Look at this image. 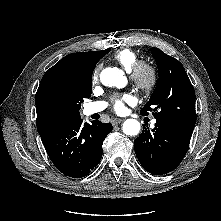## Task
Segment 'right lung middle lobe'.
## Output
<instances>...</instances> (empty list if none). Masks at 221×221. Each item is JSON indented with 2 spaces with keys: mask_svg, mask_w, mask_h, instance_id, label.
I'll return each mask as SVG.
<instances>
[{
  "mask_svg": "<svg viewBox=\"0 0 221 221\" xmlns=\"http://www.w3.org/2000/svg\"><path fill=\"white\" fill-rule=\"evenodd\" d=\"M92 92V82L84 91L72 92L68 94H54L51 97V104L58 109L74 110L78 112L84 98H89Z\"/></svg>",
  "mask_w": 221,
  "mask_h": 221,
  "instance_id": "1",
  "label": "right lung middle lobe"
}]
</instances>
